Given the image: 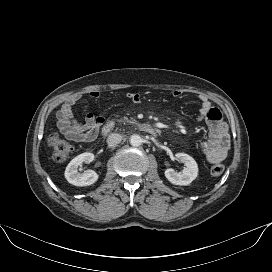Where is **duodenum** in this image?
<instances>
[{
    "instance_id": "duodenum-1",
    "label": "duodenum",
    "mask_w": 272,
    "mask_h": 272,
    "mask_svg": "<svg viewBox=\"0 0 272 272\" xmlns=\"http://www.w3.org/2000/svg\"><path fill=\"white\" fill-rule=\"evenodd\" d=\"M116 123L114 121H108L107 123H105V125L102 128V134L107 135L110 132L113 131V129L115 128ZM135 126L140 130L143 131L145 133H148L150 135L156 136L158 134V130L147 123H137L135 124Z\"/></svg>"
}]
</instances>
